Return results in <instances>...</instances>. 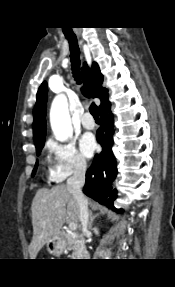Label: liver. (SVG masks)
<instances>
[{"mask_svg":"<svg viewBox=\"0 0 175 287\" xmlns=\"http://www.w3.org/2000/svg\"><path fill=\"white\" fill-rule=\"evenodd\" d=\"M33 238L29 246L31 259L55 235L63 224L80 221L79 207L72 192L66 185L51 189H39L32 201Z\"/></svg>","mask_w":175,"mask_h":287,"instance_id":"1","label":"liver"}]
</instances>
